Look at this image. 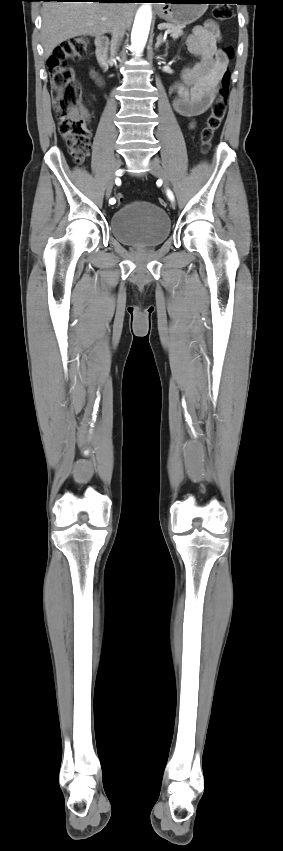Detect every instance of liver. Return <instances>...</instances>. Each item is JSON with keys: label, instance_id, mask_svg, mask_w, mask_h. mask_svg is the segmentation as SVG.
<instances>
[{"label": "liver", "instance_id": "6515ba94", "mask_svg": "<svg viewBox=\"0 0 283 851\" xmlns=\"http://www.w3.org/2000/svg\"><path fill=\"white\" fill-rule=\"evenodd\" d=\"M136 5L128 2H46L42 10L41 39L47 59L62 42L82 35L110 33L121 23L131 26ZM106 18L102 20L101 18Z\"/></svg>", "mask_w": 283, "mask_h": 851}]
</instances>
